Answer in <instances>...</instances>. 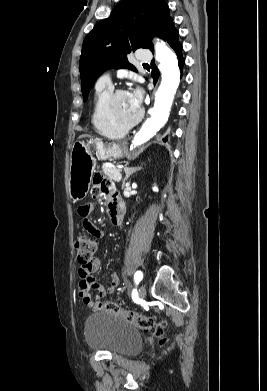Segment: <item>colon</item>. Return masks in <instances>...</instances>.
I'll return each instance as SVG.
<instances>
[{
  "mask_svg": "<svg viewBox=\"0 0 267 391\" xmlns=\"http://www.w3.org/2000/svg\"><path fill=\"white\" fill-rule=\"evenodd\" d=\"M75 249L77 259L81 266H88L94 259L99 250V241L97 237L90 235H79L75 239ZM95 309L105 310L119 316L122 320L130 323L144 332L151 333L157 336L161 343L165 341V329L167 323L165 321L156 320L154 317L139 314L137 312L121 308L112 302H99L95 304Z\"/></svg>",
  "mask_w": 267,
  "mask_h": 391,
  "instance_id": "colon-1",
  "label": "colon"
}]
</instances>
